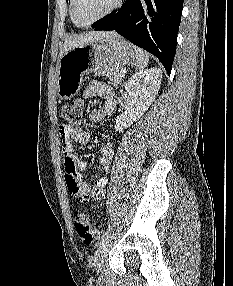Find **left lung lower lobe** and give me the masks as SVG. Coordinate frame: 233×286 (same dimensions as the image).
Segmentation results:
<instances>
[{
	"label": "left lung lower lobe",
	"mask_w": 233,
	"mask_h": 286,
	"mask_svg": "<svg viewBox=\"0 0 233 286\" xmlns=\"http://www.w3.org/2000/svg\"><path fill=\"white\" fill-rule=\"evenodd\" d=\"M183 0H124L117 12L96 21L95 29L115 30L155 55L171 72Z\"/></svg>",
	"instance_id": "0a47b994"
}]
</instances>
